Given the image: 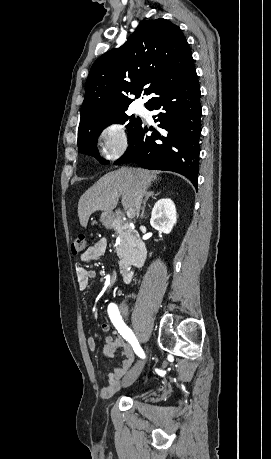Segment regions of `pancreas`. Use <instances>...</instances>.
Listing matches in <instances>:
<instances>
[{
	"label": "pancreas",
	"instance_id": "pancreas-1",
	"mask_svg": "<svg viewBox=\"0 0 271 459\" xmlns=\"http://www.w3.org/2000/svg\"><path fill=\"white\" fill-rule=\"evenodd\" d=\"M119 235L120 243L119 245H116L115 249L119 257H124V255H128V253H131V247L128 241V237H126L125 233H119Z\"/></svg>",
	"mask_w": 271,
	"mask_h": 459
}]
</instances>
